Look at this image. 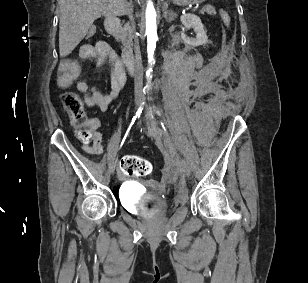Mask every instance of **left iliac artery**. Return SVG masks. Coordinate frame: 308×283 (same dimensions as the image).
Instances as JSON below:
<instances>
[{
  "instance_id": "44dca946",
  "label": "left iliac artery",
  "mask_w": 308,
  "mask_h": 283,
  "mask_svg": "<svg viewBox=\"0 0 308 283\" xmlns=\"http://www.w3.org/2000/svg\"><path fill=\"white\" fill-rule=\"evenodd\" d=\"M161 125H162L163 130H164L165 133H166V136H169V133L167 132V128H169V126H168L167 122H166L165 120H163V121L161 122Z\"/></svg>"
}]
</instances>
